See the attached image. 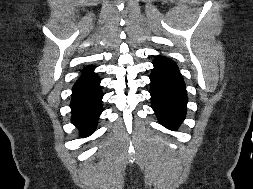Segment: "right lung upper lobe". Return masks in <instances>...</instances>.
<instances>
[{
	"instance_id": "1",
	"label": "right lung upper lobe",
	"mask_w": 253,
	"mask_h": 189,
	"mask_svg": "<svg viewBox=\"0 0 253 189\" xmlns=\"http://www.w3.org/2000/svg\"><path fill=\"white\" fill-rule=\"evenodd\" d=\"M95 66H87L84 69V75L81 76V78H86V77H92L95 76L96 74L93 73Z\"/></svg>"
}]
</instances>
